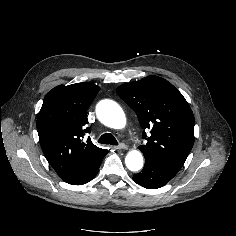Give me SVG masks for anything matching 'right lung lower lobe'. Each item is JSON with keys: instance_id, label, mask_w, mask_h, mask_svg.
Instances as JSON below:
<instances>
[{"instance_id": "98d812e1", "label": "right lung lower lobe", "mask_w": 236, "mask_h": 236, "mask_svg": "<svg viewBox=\"0 0 236 236\" xmlns=\"http://www.w3.org/2000/svg\"><path fill=\"white\" fill-rule=\"evenodd\" d=\"M102 160H103V158L91 170H89L87 172V174H85L84 176H82L76 180L67 182V183L72 184V185H82V184L88 183L98 173V170H99Z\"/></svg>"}]
</instances>
